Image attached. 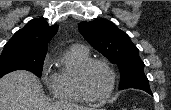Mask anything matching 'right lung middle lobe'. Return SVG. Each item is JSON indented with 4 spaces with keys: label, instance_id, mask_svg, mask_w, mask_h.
Returning a JSON list of instances; mask_svg holds the SVG:
<instances>
[{
    "label": "right lung middle lobe",
    "instance_id": "right-lung-middle-lobe-1",
    "mask_svg": "<svg viewBox=\"0 0 171 110\" xmlns=\"http://www.w3.org/2000/svg\"><path fill=\"white\" fill-rule=\"evenodd\" d=\"M46 55L26 53L15 47H4L0 56V77L14 70H28L41 77Z\"/></svg>",
    "mask_w": 171,
    "mask_h": 110
}]
</instances>
